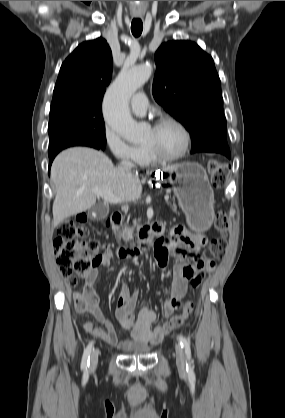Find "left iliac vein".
Here are the masks:
<instances>
[{
  "label": "left iliac vein",
  "instance_id": "4c4485c4",
  "mask_svg": "<svg viewBox=\"0 0 285 418\" xmlns=\"http://www.w3.org/2000/svg\"><path fill=\"white\" fill-rule=\"evenodd\" d=\"M176 365L180 371H185V355L182 347L179 344L175 345Z\"/></svg>",
  "mask_w": 285,
  "mask_h": 418
}]
</instances>
